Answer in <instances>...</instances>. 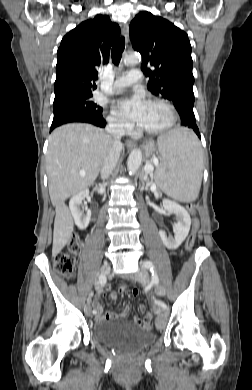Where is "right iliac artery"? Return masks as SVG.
I'll list each match as a JSON object with an SVG mask.
<instances>
[{
	"instance_id": "right-iliac-artery-1",
	"label": "right iliac artery",
	"mask_w": 252,
	"mask_h": 390,
	"mask_svg": "<svg viewBox=\"0 0 252 390\" xmlns=\"http://www.w3.org/2000/svg\"><path fill=\"white\" fill-rule=\"evenodd\" d=\"M98 276H99V274H98ZM99 277H101V280H100L101 286L104 287V286H105V280H106L105 274H104V273H101ZM92 313H93L94 316H97V315H98V312H97L96 309H93V310H92Z\"/></svg>"
}]
</instances>
